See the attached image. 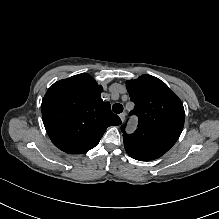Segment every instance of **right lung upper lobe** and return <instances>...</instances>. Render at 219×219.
<instances>
[{"instance_id": "1", "label": "right lung upper lobe", "mask_w": 219, "mask_h": 219, "mask_svg": "<svg viewBox=\"0 0 219 219\" xmlns=\"http://www.w3.org/2000/svg\"><path fill=\"white\" fill-rule=\"evenodd\" d=\"M103 88L86 73L54 83L45 94L41 110L52 142L69 154L94 148L107 127L120 125V118L103 102Z\"/></svg>"}]
</instances>
